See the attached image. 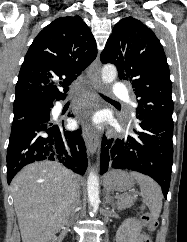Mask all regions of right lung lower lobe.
<instances>
[{
	"label": "right lung lower lobe",
	"mask_w": 187,
	"mask_h": 242,
	"mask_svg": "<svg viewBox=\"0 0 187 242\" xmlns=\"http://www.w3.org/2000/svg\"><path fill=\"white\" fill-rule=\"evenodd\" d=\"M50 108L13 120L7 149L8 184L25 165L42 160L58 161L84 175L88 160L81 130L65 131L51 123Z\"/></svg>",
	"instance_id": "98d812e1"
}]
</instances>
